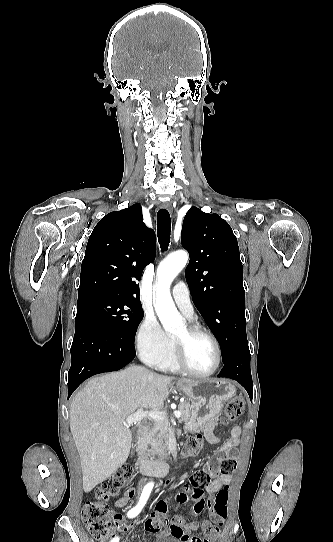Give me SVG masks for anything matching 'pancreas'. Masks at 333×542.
<instances>
[{"instance_id":"pancreas-1","label":"pancreas","mask_w":333,"mask_h":542,"mask_svg":"<svg viewBox=\"0 0 333 542\" xmlns=\"http://www.w3.org/2000/svg\"><path fill=\"white\" fill-rule=\"evenodd\" d=\"M190 408H192L190 402H181L179 404L177 412H181L182 416L180 420L182 422H188L189 418H191ZM171 430L172 426H170L168 418L154 420L153 426H150L146 438L142 440L141 446H144L142 456L150 458V462L156 460V458H159V460L169 458L168 440Z\"/></svg>"}]
</instances>
